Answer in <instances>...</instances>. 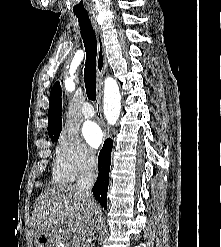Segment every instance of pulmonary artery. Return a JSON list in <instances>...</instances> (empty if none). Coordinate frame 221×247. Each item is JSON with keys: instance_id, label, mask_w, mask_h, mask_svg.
<instances>
[{"instance_id": "pulmonary-artery-1", "label": "pulmonary artery", "mask_w": 221, "mask_h": 247, "mask_svg": "<svg viewBox=\"0 0 221 247\" xmlns=\"http://www.w3.org/2000/svg\"><path fill=\"white\" fill-rule=\"evenodd\" d=\"M82 114L85 118H92L95 114L94 109L91 107V105L86 102L82 107Z\"/></svg>"}]
</instances>
